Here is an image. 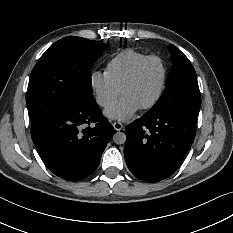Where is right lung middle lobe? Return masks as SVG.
Segmentation results:
<instances>
[{
  "label": "right lung middle lobe",
  "instance_id": "obj_1",
  "mask_svg": "<svg viewBox=\"0 0 233 233\" xmlns=\"http://www.w3.org/2000/svg\"><path fill=\"white\" fill-rule=\"evenodd\" d=\"M106 47L75 36L51 45L31 73L27 99L31 121L58 113L78 98H93L91 67Z\"/></svg>",
  "mask_w": 233,
  "mask_h": 233
}]
</instances>
